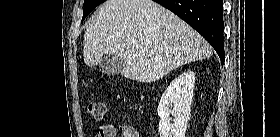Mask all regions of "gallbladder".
I'll return each instance as SVG.
<instances>
[{"label":"gallbladder","instance_id":"gallbladder-1","mask_svg":"<svg viewBox=\"0 0 280 137\" xmlns=\"http://www.w3.org/2000/svg\"><path fill=\"white\" fill-rule=\"evenodd\" d=\"M125 66V60L116 54L108 53L103 55L99 62V69L105 75H117Z\"/></svg>","mask_w":280,"mask_h":137}]
</instances>
